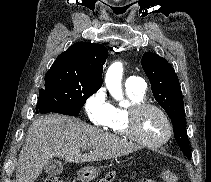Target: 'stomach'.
Returning <instances> with one entry per match:
<instances>
[{"label": "stomach", "instance_id": "obj_1", "mask_svg": "<svg viewBox=\"0 0 211 182\" xmlns=\"http://www.w3.org/2000/svg\"><path fill=\"white\" fill-rule=\"evenodd\" d=\"M99 175V169L93 166L82 168L78 172V179L82 182H90Z\"/></svg>", "mask_w": 211, "mask_h": 182}]
</instances>
